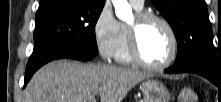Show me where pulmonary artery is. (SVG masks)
Wrapping results in <instances>:
<instances>
[{
	"label": "pulmonary artery",
	"mask_w": 221,
	"mask_h": 102,
	"mask_svg": "<svg viewBox=\"0 0 221 102\" xmlns=\"http://www.w3.org/2000/svg\"><path fill=\"white\" fill-rule=\"evenodd\" d=\"M131 4L138 9H142L144 5V0H129Z\"/></svg>",
	"instance_id": "1"
}]
</instances>
